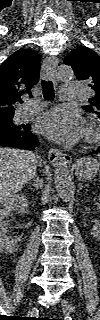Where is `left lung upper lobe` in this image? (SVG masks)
<instances>
[{
  "instance_id": "left-lung-upper-lobe-1",
  "label": "left lung upper lobe",
  "mask_w": 100,
  "mask_h": 320,
  "mask_svg": "<svg viewBox=\"0 0 100 320\" xmlns=\"http://www.w3.org/2000/svg\"><path fill=\"white\" fill-rule=\"evenodd\" d=\"M64 63L72 66L77 79L88 82L93 93L83 108L100 117V56L85 46H79L65 57Z\"/></svg>"
}]
</instances>
